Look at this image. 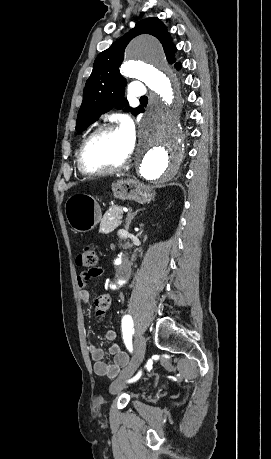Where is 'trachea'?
Segmentation results:
<instances>
[{
  "instance_id": "3493384b",
  "label": "trachea",
  "mask_w": 271,
  "mask_h": 459,
  "mask_svg": "<svg viewBox=\"0 0 271 459\" xmlns=\"http://www.w3.org/2000/svg\"><path fill=\"white\" fill-rule=\"evenodd\" d=\"M140 101H141V102H147V101H148V97H145V96H144V97H141V98H140Z\"/></svg>"
}]
</instances>
